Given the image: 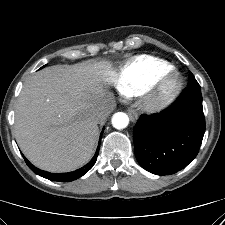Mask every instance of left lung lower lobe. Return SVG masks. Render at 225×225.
Instances as JSON below:
<instances>
[{
  "label": "left lung lower lobe",
  "instance_id": "left-lung-lower-lobe-1",
  "mask_svg": "<svg viewBox=\"0 0 225 225\" xmlns=\"http://www.w3.org/2000/svg\"><path fill=\"white\" fill-rule=\"evenodd\" d=\"M204 132L201 90L188 86L165 111L141 115L134 127L137 161L153 174H174L196 157Z\"/></svg>",
  "mask_w": 225,
  "mask_h": 225
}]
</instances>
